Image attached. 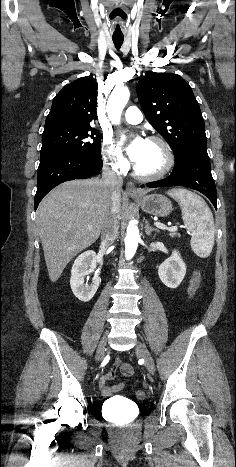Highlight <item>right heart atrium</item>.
Returning a JSON list of instances; mask_svg holds the SVG:
<instances>
[{"label": "right heart atrium", "instance_id": "right-heart-atrium-1", "mask_svg": "<svg viewBox=\"0 0 236 467\" xmlns=\"http://www.w3.org/2000/svg\"><path fill=\"white\" fill-rule=\"evenodd\" d=\"M101 152L104 163L113 171H123L127 166L126 159L110 136L102 138Z\"/></svg>", "mask_w": 236, "mask_h": 467}]
</instances>
